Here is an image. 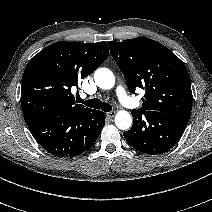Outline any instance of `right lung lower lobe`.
<instances>
[{
	"instance_id": "right-lung-lower-lobe-1",
	"label": "right lung lower lobe",
	"mask_w": 212,
	"mask_h": 212,
	"mask_svg": "<svg viewBox=\"0 0 212 212\" xmlns=\"http://www.w3.org/2000/svg\"><path fill=\"white\" fill-rule=\"evenodd\" d=\"M105 123V115L90 110L65 116H46L28 124L37 142L56 157H75L91 148Z\"/></svg>"
}]
</instances>
